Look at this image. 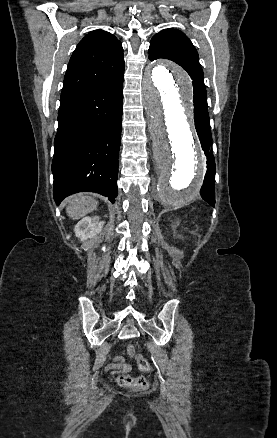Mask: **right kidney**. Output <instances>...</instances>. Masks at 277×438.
<instances>
[{"instance_id": "1", "label": "right kidney", "mask_w": 277, "mask_h": 438, "mask_svg": "<svg viewBox=\"0 0 277 438\" xmlns=\"http://www.w3.org/2000/svg\"><path fill=\"white\" fill-rule=\"evenodd\" d=\"M107 218V216H105ZM105 222H101L99 216H86L82 218L74 228L76 238H80L81 242L94 238L96 234H100Z\"/></svg>"}]
</instances>
